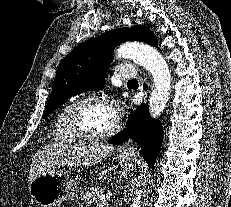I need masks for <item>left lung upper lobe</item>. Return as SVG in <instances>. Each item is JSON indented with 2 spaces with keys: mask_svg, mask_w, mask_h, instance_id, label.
Returning <instances> with one entry per match:
<instances>
[{
  "mask_svg": "<svg viewBox=\"0 0 231 207\" xmlns=\"http://www.w3.org/2000/svg\"><path fill=\"white\" fill-rule=\"evenodd\" d=\"M124 41L158 45L154 33L143 25L109 31L78 45L58 68L44 116L72 96L103 89L108 65L113 59V50L118 43Z\"/></svg>",
  "mask_w": 231,
  "mask_h": 207,
  "instance_id": "obj_1",
  "label": "left lung upper lobe"
}]
</instances>
